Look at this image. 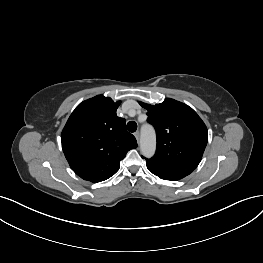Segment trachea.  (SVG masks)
<instances>
[{
	"label": "trachea",
	"instance_id": "1",
	"mask_svg": "<svg viewBox=\"0 0 263 263\" xmlns=\"http://www.w3.org/2000/svg\"><path fill=\"white\" fill-rule=\"evenodd\" d=\"M137 129V123L135 121H130L127 123V130L129 132H135Z\"/></svg>",
	"mask_w": 263,
	"mask_h": 263
}]
</instances>
